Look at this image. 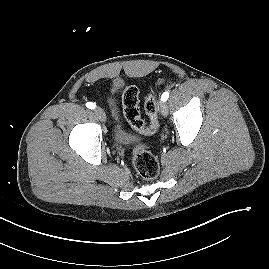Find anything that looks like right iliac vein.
<instances>
[{
	"label": "right iliac vein",
	"instance_id": "obj_1",
	"mask_svg": "<svg viewBox=\"0 0 269 269\" xmlns=\"http://www.w3.org/2000/svg\"><path fill=\"white\" fill-rule=\"evenodd\" d=\"M95 114L97 115V117L101 120V121H106V114L103 111V109H101L100 107L95 108L94 110Z\"/></svg>",
	"mask_w": 269,
	"mask_h": 269
}]
</instances>
